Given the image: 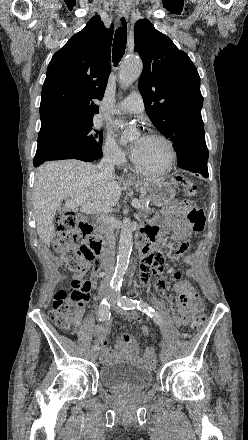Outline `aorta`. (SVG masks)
Masks as SVG:
<instances>
[{
    "instance_id": "1",
    "label": "aorta",
    "mask_w": 248,
    "mask_h": 440,
    "mask_svg": "<svg viewBox=\"0 0 248 440\" xmlns=\"http://www.w3.org/2000/svg\"><path fill=\"white\" fill-rule=\"evenodd\" d=\"M142 62L139 58L129 57L124 59L119 70V79L124 88L130 86L136 81L142 72ZM115 125L122 129L121 142L127 143L133 140L135 133L134 129L126 127L122 120H115ZM133 246V233L129 221H124V226L120 233L119 248L117 255V262L115 272L111 281L114 288L120 286L123 280L125 271L127 270L131 251Z\"/></svg>"
}]
</instances>
